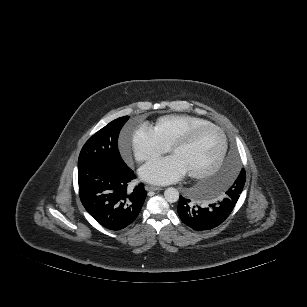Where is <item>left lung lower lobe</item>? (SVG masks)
<instances>
[{"label":"left lung lower lobe","instance_id":"0a47b994","mask_svg":"<svg viewBox=\"0 0 307 307\" xmlns=\"http://www.w3.org/2000/svg\"><path fill=\"white\" fill-rule=\"evenodd\" d=\"M237 201V197L226 194L220 201L201 207L193 205L190 199L180 195L178 215L187 226L196 231L209 230L217 227L227 219Z\"/></svg>","mask_w":307,"mask_h":307}]
</instances>
